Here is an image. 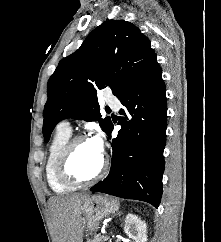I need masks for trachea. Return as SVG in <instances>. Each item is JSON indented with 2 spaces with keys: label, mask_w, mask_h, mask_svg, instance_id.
<instances>
[{
  "label": "trachea",
  "mask_w": 221,
  "mask_h": 242,
  "mask_svg": "<svg viewBox=\"0 0 221 242\" xmlns=\"http://www.w3.org/2000/svg\"><path fill=\"white\" fill-rule=\"evenodd\" d=\"M106 111H107V112H111L110 108H107Z\"/></svg>",
  "instance_id": "trachea-1"
}]
</instances>
